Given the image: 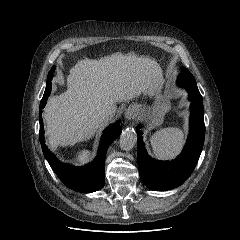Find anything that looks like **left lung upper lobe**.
Instances as JSON below:
<instances>
[{
	"label": "left lung upper lobe",
	"instance_id": "1",
	"mask_svg": "<svg viewBox=\"0 0 240 240\" xmlns=\"http://www.w3.org/2000/svg\"><path fill=\"white\" fill-rule=\"evenodd\" d=\"M182 73L187 74V75H192L189 70L185 67H182Z\"/></svg>",
	"mask_w": 240,
	"mask_h": 240
}]
</instances>
